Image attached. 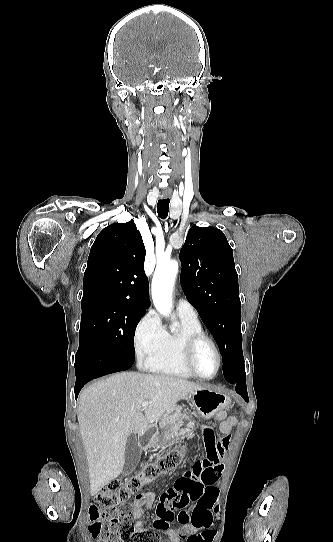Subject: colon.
Returning <instances> with one entry per match:
<instances>
[{
    "label": "colon",
    "mask_w": 333,
    "mask_h": 542,
    "mask_svg": "<svg viewBox=\"0 0 333 542\" xmlns=\"http://www.w3.org/2000/svg\"><path fill=\"white\" fill-rule=\"evenodd\" d=\"M182 458L183 452L172 450L155 462L143 465L138 473L109 482L98 493L90 509L89 528L92 536L102 541L117 540L119 533L115 526L121 525L122 542H162L156 531L134 532L135 527L131 522L134 507L126 503L140 488L158 476L174 472ZM192 464V471H185L184 479L172 483L171 489H163L153 517L155 528L166 530L175 521V515L179 516L178 523L184 526L216 523L213 507L217 491L211 482L222 473L223 465L217 464L215 458L196 459ZM197 502L201 505H196ZM206 538H210L209 533L203 537L204 541Z\"/></svg>",
    "instance_id": "colon-1"
}]
</instances>
